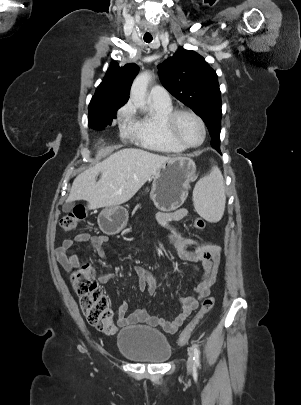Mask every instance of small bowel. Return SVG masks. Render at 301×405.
Instances as JSON below:
<instances>
[{
    "mask_svg": "<svg viewBox=\"0 0 301 405\" xmlns=\"http://www.w3.org/2000/svg\"><path fill=\"white\" fill-rule=\"evenodd\" d=\"M187 215L188 210L186 208H180L172 213L160 212L157 215V221L162 227L169 231V241L175 247L180 259L187 262L202 263V277L198 285L193 289V294L179 299L181 311L171 321L152 316L145 309H137L127 315L128 303L123 301L117 309V321L120 326L147 323L152 326H158L165 332L174 333L197 308L199 301L210 295L216 282L221 248L218 245L202 243L197 239L184 237L178 233L172 226V223L183 220ZM83 242H90L97 258L101 260L106 258L105 248L109 244V237L107 235L80 233L72 238L65 239L62 245L55 251L57 261L66 271H71L73 268L79 266L77 256L74 254L68 255L67 251L76 244ZM135 272L138 277L140 290L147 291L152 295L155 292L153 274L142 266H136ZM113 278L114 275L112 273H105L98 277V282L106 284L113 280Z\"/></svg>",
    "mask_w": 301,
    "mask_h": 405,
    "instance_id": "obj_1",
    "label": "small bowel"
}]
</instances>
